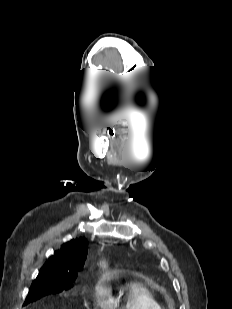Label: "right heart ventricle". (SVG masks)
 <instances>
[{
  "mask_svg": "<svg viewBox=\"0 0 232 309\" xmlns=\"http://www.w3.org/2000/svg\"><path fill=\"white\" fill-rule=\"evenodd\" d=\"M104 309H162V306L142 283H127L117 298H109Z\"/></svg>",
  "mask_w": 232,
  "mask_h": 309,
  "instance_id": "1",
  "label": "right heart ventricle"
}]
</instances>
